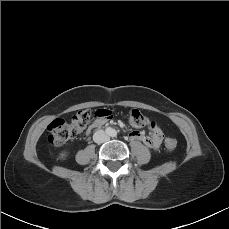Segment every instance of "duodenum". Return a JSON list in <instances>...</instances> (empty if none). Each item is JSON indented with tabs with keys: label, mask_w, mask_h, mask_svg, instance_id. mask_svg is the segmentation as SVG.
<instances>
[{
	"label": "duodenum",
	"mask_w": 229,
	"mask_h": 229,
	"mask_svg": "<svg viewBox=\"0 0 229 229\" xmlns=\"http://www.w3.org/2000/svg\"><path fill=\"white\" fill-rule=\"evenodd\" d=\"M104 123L103 122H98L97 124H95V128H98V127H100V126H102Z\"/></svg>",
	"instance_id": "duodenum-1"
}]
</instances>
